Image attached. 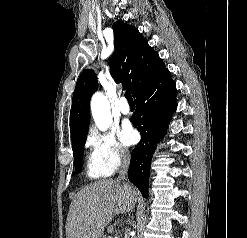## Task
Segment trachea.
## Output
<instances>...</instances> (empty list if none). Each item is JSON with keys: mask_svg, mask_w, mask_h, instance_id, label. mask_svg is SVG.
Instances as JSON below:
<instances>
[{"mask_svg": "<svg viewBox=\"0 0 247 238\" xmlns=\"http://www.w3.org/2000/svg\"><path fill=\"white\" fill-rule=\"evenodd\" d=\"M125 97H126V99H127L128 103H134V101H133V98H132V95H131L130 91H126V92H125Z\"/></svg>", "mask_w": 247, "mask_h": 238, "instance_id": "1", "label": "trachea"}]
</instances>
